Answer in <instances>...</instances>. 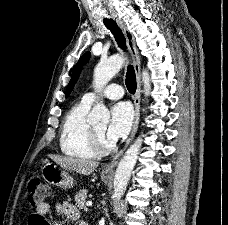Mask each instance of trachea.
<instances>
[{"mask_svg": "<svg viewBox=\"0 0 228 225\" xmlns=\"http://www.w3.org/2000/svg\"><path fill=\"white\" fill-rule=\"evenodd\" d=\"M104 24L106 27L111 30L115 40L120 48L126 50V40L122 33V30L118 27L116 22L112 19H104ZM126 86L130 93H135L136 91V74L132 65H128L126 72Z\"/></svg>", "mask_w": 228, "mask_h": 225, "instance_id": "3493384b", "label": "trachea"}]
</instances>
